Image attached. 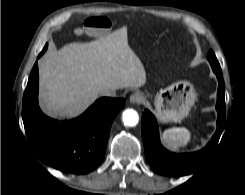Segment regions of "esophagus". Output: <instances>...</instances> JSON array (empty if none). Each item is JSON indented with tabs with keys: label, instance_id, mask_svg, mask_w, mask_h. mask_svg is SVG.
<instances>
[{
	"label": "esophagus",
	"instance_id": "34e87169",
	"mask_svg": "<svg viewBox=\"0 0 245 195\" xmlns=\"http://www.w3.org/2000/svg\"><path fill=\"white\" fill-rule=\"evenodd\" d=\"M143 101V96L141 93L139 92H134L131 96H130V102L132 104H138L141 103Z\"/></svg>",
	"mask_w": 245,
	"mask_h": 195
}]
</instances>
